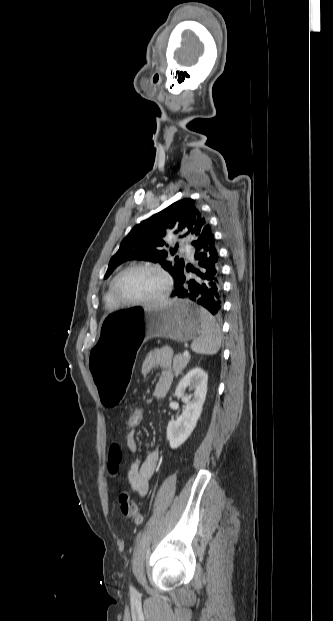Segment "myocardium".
Here are the masks:
<instances>
[{
    "mask_svg": "<svg viewBox=\"0 0 333 621\" xmlns=\"http://www.w3.org/2000/svg\"><path fill=\"white\" fill-rule=\"evenodd\" d=\"M134 270H151V271L158 273L165 282L164 292L160 296L154 299L126 300L122 298L119 295L118 290H117L118 282L125 274L131 271H134ZM172 287H173V283H172V279L170 275L167 273V271L162 266H160L159 264H154V263H136V264L130 265L124 268L123 270H121L111 282V292H112V295L115 301L117 302L119 306H139V305L160 304L169 298L171 291H172Z\"/></svg>",
    "mask_w": 333,
    "mask_h": 621,
    "instance_id": "1",
    "label": "myocardium"
}]
</instances>
